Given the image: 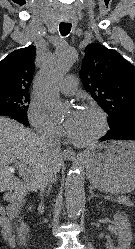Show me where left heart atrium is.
Instances as JSON below:
<instances>
[{
    "label": "left heart atrium",
    "mask_w": 135,
    "mask_h": 249,
    "mask_svg": "<svg viewBox=\"0 0 135 249\" xmlns=\"http://www.w3.org/2000/svg\"><path fill=\"white\" fill-rule=\"evenodd\" d=\"M81 111L79 110H75L72 112V114L70 115L69 119L66 122V129L67 131L70 133L73 128L75 127L79 117H80Z\"/></svg>",
    "instance_id": "left-heart-atrium-1"
}]
</instances>
